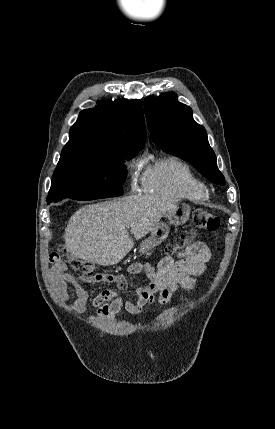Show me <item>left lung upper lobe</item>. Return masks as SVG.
Segmentation results:
<instances>
[{
	"instance_id": "1",
	"label": "left lung upper lobe",
	"mask_w": 275,
	"mask_h": 429,
	"mask_svg": "<svg viewBox=\"0 0 275 429\" xmlns=\"http://www.w3.org/2000/svg\"><path fill=\"white\" fill-rule=\"evenodd\" d=\"M145 114L154 143L163 151L190 162L211 182L225 185L203 126L196 123L189 106L168 92L144 101Z\"/></svg>"
}]
</instances>
